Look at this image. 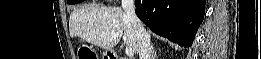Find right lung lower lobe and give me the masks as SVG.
<instances>
[{
  "label": "right lung lower lobe",
  "mask_w": 261,
  "mask_h": 59,
  "mask_svg": "<svg viewBox=\"0 0 261 59\" xmlns=\"http://www.w3.org/2000/svg\"><path fill=\"white\" fill-rule=\"evenodd\" d=\"M135 5L153 32L185 47L192 45L205 13V0H136Z\"/></svg>",
  "instance_id": "1"
}]
</instances>
